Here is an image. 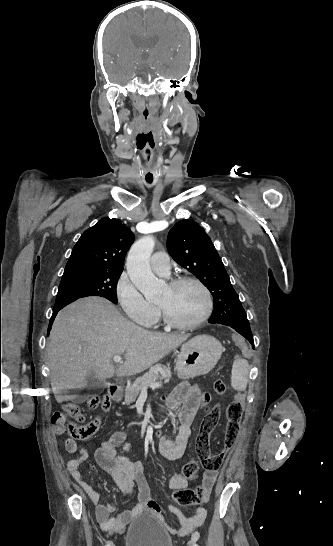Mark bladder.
<instances>
[{
    "instance_id": "1",
    "label": "bladder",
    "mask_w": 333,
    "mask_h": 546,
    "mask_svg": "<svg viewBox=\"0 0 333 546\" xmlns=\"http://www.w3.org/2000/svg\"><path fill=\"white\" fill-rule=\"evenodd\" d=\"M127 546H174L164 525L151 514L136 517L128 527Z\"/></svg>"
}]
</instances>
